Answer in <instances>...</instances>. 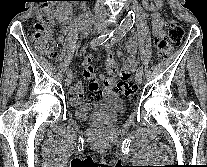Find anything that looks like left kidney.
<instances>
[{"label":"left kidney","instance_id":"1","mask_svg":"<svg viewBox=\"0 0 207 167\" xmlns=\"http://www.w3.org/2000/svg\"><path fill=\"white\" fill-rule=\"evenodd\" d=\"M157 1V6L161 5V0H156Z\"/></svg>","mask_w":207,"mask_h":167}]
</instances>
